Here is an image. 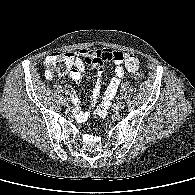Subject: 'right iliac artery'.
Returning a JSON list of instances; mask_svg holds the SVG:
<instances>
[{
    "instance_id": "82829eb1",
    "label": "right iliac artery",
    "mask_w": 195,
    "mask_h": 195,
    "mask_svg": "<svg viewBox=\"0 0 195 195\" xmlns=\"http://www.w3.org/2000/svg\"><path fill=\"white\" fill-rule=\"evenodd\" d=\"M65 94H69V91L66 90V91H65Z\"/></svg>"
}]
</instances>
